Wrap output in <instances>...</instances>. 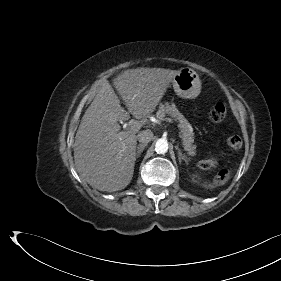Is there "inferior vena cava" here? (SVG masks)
<instances>
[{
    "label": "inferior vena cava",
    "mask_w": 281,
    "mask_h": 281,
    "mask_svg": "<svg viewBox=\"0 0 281 281\" xmlns=\"http://www.w3.org/2000/svg\"><path fill=\"white\" fill-rule=\"evenodd\" d=\"M153 132L151 130H143L138 133L137 139L142 144H148L153 139Z\"/></svg>",
    "instance_id": "inferior-vena-cava-1"
}]
</instances>
